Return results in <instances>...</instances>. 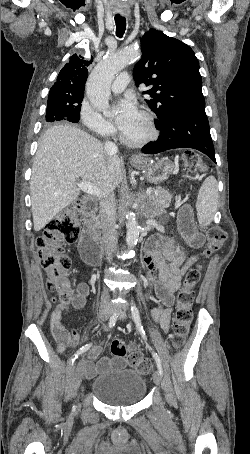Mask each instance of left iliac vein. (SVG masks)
<instances>
[{
  "label": "left iliac vein",
  "instance_id": "1",
  "mask_svg": "<svg viewBox=\"0 0 250 454\" xmlns=\"http://www.w3.org/2000/svg\"><path fill=\"white\" fill-rule=\"evenodd\" d=\"M114 313H116V314L118 315V318H119L120 320H123V319L126 318V313H125L124 311L120 310V309H115V310H114ZM153 381H154V383L157 384V385H159L160 382H161V375H160V373H159L158 370H156V371L154 372V374H153Z\"/></svg>",
  "mask_w": 250,
  "mask_h": 454
}]
</instances>
